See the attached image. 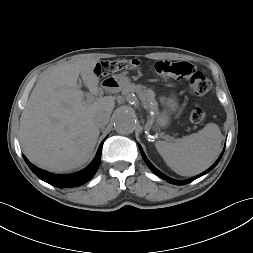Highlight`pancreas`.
I'll list each match as a JSON object with an SVG mask.
<instances>
[{
	"mask_svg": "<svg viewBox=\"0 0 253 253\" xmlns=\"http://www.w3.org/2000/svg\"><path fill=\"white\" fill-rule=\"evenodd\" d=\"M132 92H136L142 101L143 107L148 111H156L158 109V103L155 100V93L151 89H146L142 85L128 84L123 88L122 94L128 95Z\"/></svg>",
	"mask_w": 253,
	"mask_h": 253,
	"instance_id": "pancreas-1",
	"label": "pancreas"
}]
</instances>
